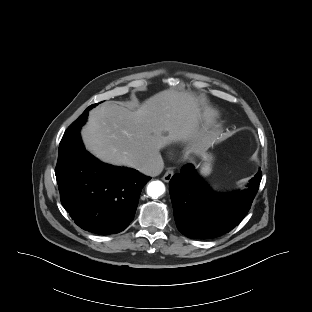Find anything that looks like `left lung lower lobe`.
Returning <instances> with one entry per match:
<instances>
[{
  "label": "left lung lower lobe",
  "mask_w": 312,
  "mask_h": 312,
  "mask_svg": "<svg viewBox=\"0 0 312 312\" xmlns=\"http://www.w3.org/2000/svg\"><path fill=\"white\" fill-rule=\"evenodd\" d=\"M261 170L247 188L231 194L213 192L192 164L169 182L174 218L178 230L189 238L209 239L228 233L249 211L261 182Z\"/></svg>",
  "instance_id": "0a47b994"
}]
</instances>
